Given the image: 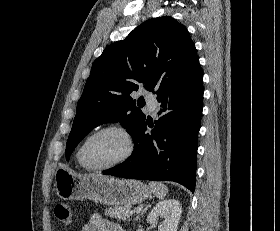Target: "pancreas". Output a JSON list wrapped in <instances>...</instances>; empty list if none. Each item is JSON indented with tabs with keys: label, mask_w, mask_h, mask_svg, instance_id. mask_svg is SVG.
Here are the masks:
<instances>
[{
	"label": "pancreas",
	"mask_w": 280,
	"mask_h": 231,
	"mask_svg": "<svg viewBox=\"0 0 280 231\" xmlns=\"http://www.w3.org/2000/svg\"><path fill=\"white\" fill-rule=\"evenodd\" d=\"M105 215H110V217H119V219H126L130 221V205H113V207H108L105 209Z\"/></svg>",
	"instance_id": "cf45deb5"
}]
</instances>
